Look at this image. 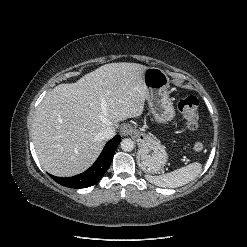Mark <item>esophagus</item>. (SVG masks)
Returning a JSON list of instances; mask_svg holds the SVG:
<instances>
[{
  "label": "esophagus",
  "mask_w": 247,
  "mask_h": 247,
  "mask_svg": "<svg viewBox=\"0 0 247 247\" xmlns=\"http://www.w3.org/2000/svg\"><path fill=\"white\" fill-rule=\"evenodd\" d=\"M120 132L122 136H129L133 133V129L129 124H125L121 127Z\"/></svg>",
  "instance_id": "esophagus-1"
}]
</instances>
